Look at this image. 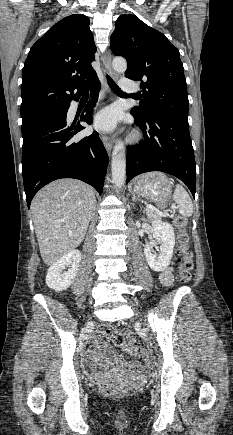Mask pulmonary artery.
<instances>
[{
    "instance_id": "pulmonary-artery-1",
    "label": "pulmonary artery",
    "mask_w": 233,
    "mask_h": 435,
    "mask_svg": "<svg viewBox=\"0 0 233 435\" xmlns=\"http://www.w3.org/2000/svg\"><path fill=\"white\" fill-rule=\"evenodd\" d=\"M121 91L125 94L134 93L136 87L133 85V80L130 78H122L120 80Z\"/></svg>"
}]
</instances>
